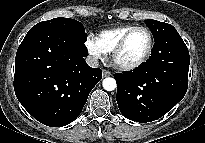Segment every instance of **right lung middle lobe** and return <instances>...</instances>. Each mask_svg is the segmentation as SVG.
<instances>
[{"label": "right lung middle lobe", "instance_id": "1", "mask_svg": "<svg viewBox=\"0 0 205 143\" xmlns=\"http://www.w3.org/2000/svg\"><path fill=\"white\" fill-rule=\"evenodd\" d=\"M48 26L61 30L79 41L86 42V33L81 22L70 18H54L48 21H43L34 27Z\"/></svg>", "mask_w": 205, "mask_h": 143}]
</instances>
